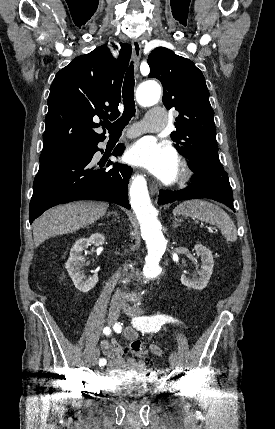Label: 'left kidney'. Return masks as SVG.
<instances>
[{
    "mask_svg": "<svg viewBox=\"0 0 275 429\" xmlns=\"http://www.w3.org/2000/svg\"><path fill=\"white\" fill-rule=\"evenodd\" d=\"M194 249L197 255L201 257L202 265L199 271L200 277L191 279L183 274L180 280L181 283L188 288L202 290L207 286L208 281L212 275L214 261L211 251L202 244H196Z\"/></svg>",
    "mask_w": 275,
    "mask_h": 429,
    "instance_id": "left-kidney-1",
    "label": "left kidney"
}]
</instances>
